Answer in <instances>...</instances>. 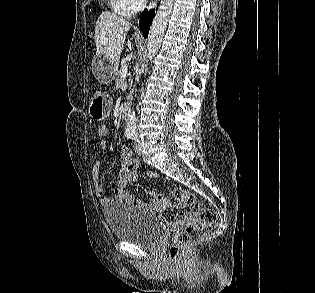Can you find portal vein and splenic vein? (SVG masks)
<instances>
[{
    "label": "portal vein and splenic vein",
    "mask_w": 315,
    "mask_h": 293,
    "mask_svg": "<svg viewBox=\"0 0 315 293\" xmlns=\"http://www.w3.org/2000/svg\"><path fill=\"white\" fill-rule=\"evenodd\" d=\"M128 75V68L127 67H123L121 69V76L126 77Z\"/></svg>",
    "instance_id": "portal-vein-and-splenic-vein-1"
}]
</instances>
